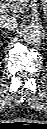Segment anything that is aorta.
<instances>
[{
    "mask_svg": "<svg viewBox=\"0 0 47 129\" xmlns=\"http://www.w3.org/2000/svg\"><path fill=\"white\" fill-rule=\"evenodd\" d=\"M23 40L28 44H36L41 41L42 32L35 25H28L22 30Z\"/></svg>",
    "mask_w": 47,
    "mask_h": 129,
    "instance_id": "obj_1",
    "label": "aorta"
}]
</instances>
